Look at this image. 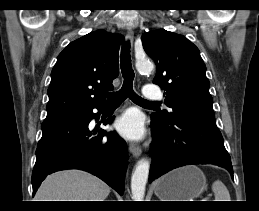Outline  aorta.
<instances>
[{"label":"aorta","instance_id":"aorta-1","mask_svg":"<svg viewBox=\"0 0 259 211\" xmlns=\"http://www.w3.org/2000/svg\"><path fill=\"white\" fill-rule=\"evenodd\" d=\"M153 67V64L147 59L136 62V68L139 72H151ZM149 168L150 163L147 159L143 158L137 162L131 177V192L133 201H143L144 199Z\"/></svg>","mask_w":259,"mask_h":211}]
</instances>
